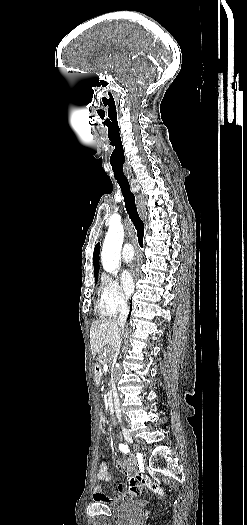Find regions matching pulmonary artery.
I'll list each match as a JSON object with an SVG mask.
<instances>
[{
    "instance_id": "obj_1",
    "label": "pulmonary artery",
    "mask_w": 247,
    "mask_h": 525,
    "mask_svg": "<svg viewBox=\"0 0 247 525\" xmlns=\"http://www.w3.org/2000/svg\"><path fill=\"white\" fill-rule=\"evenodd\" d=\"M122 254H123L121 257L122 262L124 263L129 262L130 257H132L134 254L131 244L127 243L124 245Z\"/></svg>"
}]
</instances>
